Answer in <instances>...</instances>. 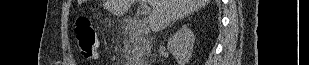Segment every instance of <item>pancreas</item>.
Wrapping results in <instances>:
<instances>
[{
  "mask_svg": "<svg viewBox=\"0 0 309 65\" xmlns=\"http://www.w3.org/2000/svg\"><path fill=\"white\" fill-rule=\"evenodd\" d=\"M145 49V42L138 38V40L132 44V57L136 58L138 57L142 51Z\"/></svg>",
  "mask_w": 309,
  "mask_h": 65,
  "instance_id": "1",
  "label": "pancreas"
}]
</instances>
